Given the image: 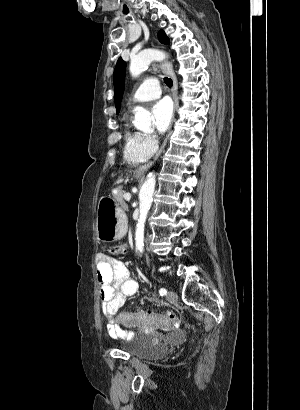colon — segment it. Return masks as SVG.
<instances>
[{"label": "colon", "instance_id": "colon-1", "mask_svg": "<svg viewBox=\"0 0 300 410\" xmlns=\"http://www.w3.org/2000/svg\"><path fill=\"white\" fill-rule=\"evenodd\" d=\"M108 253L111 256H123L127 253V246L123 244L113 245L109 247ZM177 319L178 314L176 312H167L164 315H160L148 311L123 314L120 317L121 323L126 327H137L142 325L146 328L172 324Z\"/></svg>", "mask_w": 300, "mask_h": 410}]
</instances>
